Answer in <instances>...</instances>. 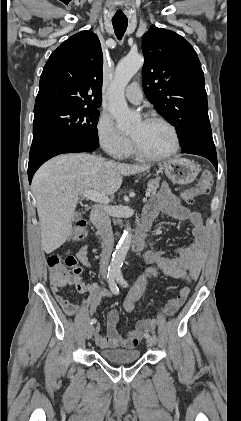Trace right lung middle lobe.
I'll return each instance as SVG.
<instances>
[{
    "instance_id": "obj_1",
    "label": "right lung middle lobe",
    "mask_w": 241,
    "mask_h": 421,
    "mask_svg": "<svg viewBox=\"0 0 241 421\" xmlns=\"http://www.w3.org/2000/svg\"><path fill=\"white\" fill-rule=\"evenodd\" d=\"M97 107L49 105L34 108L32 146L60 139L80 140L99 146Z\"/></svg>"
}]
</instances>
